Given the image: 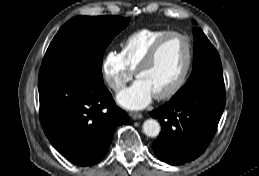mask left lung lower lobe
Segmentation results:
<instances>
[{
	"label": "left lung lower lobe",
	"mask_w": 259,
	"mask_h": 176,
	"mask_svg": "<svg viewBox=\"0 0 259 176\" xmlns=\"http://www.w3.org/2000/svg\"><path fill=\"white\" fill-rule=\"evenodd\" d=\"M225 102V90L204 87L150 112L161 123V132L153 142L155 155L170 165L200 156L216 132Z\"/></svg>",
	"instance_id": "obj_1"
}]
</instances>
